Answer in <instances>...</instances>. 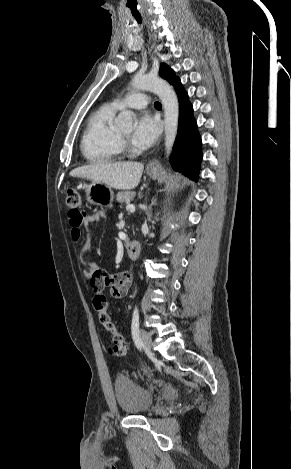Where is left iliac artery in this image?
Listing matches in <instances>:
<instances>
[{
  "mask_svg": "<svg viewBox=\"0 0 291 469\" xmlns=\"http://www.w3.org/2000/svg\"><path fill=\"white\" fill-rule=\"evenodd\" d=\"M131 332H132V338L135 342V345L137 346L138 349L141 350L143 343L139 336V311L137 307H135L133 311Z\"/></svg>",
  "mask_w": 291,
  "mask_h": 469,
  "instance_id": "1",
  "label": "left iliac artery"
}]
</instances>
